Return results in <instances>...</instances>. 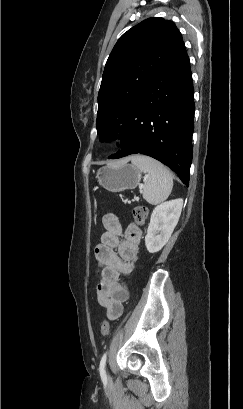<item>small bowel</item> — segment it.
I'll use <instances>...</instances> for the list:
<instances>
[{"mask_svg": "<svg viewBox=\"0 0 243 409\" xmlns=\"http://www.w3.org/2000/svg\"><path fill=\"white\" fill-rule=\"evenodd\" d=\"M105 229L101 242L95 248L100 267L97 285L98 303L107 309L109 319H117L123 311V302L129 297L128 289L120 282V275H129L138 260L141 229L130 225L124 232L118 216L107 213L102 218Z\"/></svg>", "mask_w": 243, "mask_h": 409, "instance_id": "obj_1", "label": "small bowel"}]
</instances>
